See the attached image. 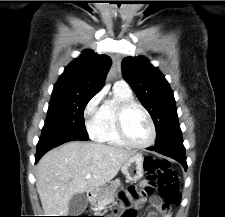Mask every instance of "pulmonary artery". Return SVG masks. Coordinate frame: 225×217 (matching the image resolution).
<instances>
[{"instance_id":"e3ab8cb5","label":"pulmonary artery","mask_w":225,"mask_h":217,"mask_svg":"<svg viewBox=\"0 0 225 217\" xmlns=\"http://www.w3.org/2000/svg\"><path fill=\"white\" fill-rule=\"evenodd\" d=\"M114 87L120 88L125 91H131L129 84L124 80H119L115 82Z\"/></svg>"}]
</instances>
